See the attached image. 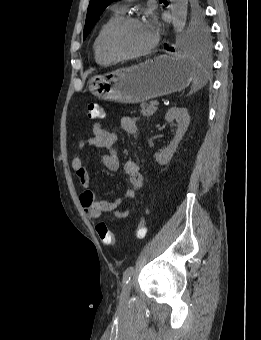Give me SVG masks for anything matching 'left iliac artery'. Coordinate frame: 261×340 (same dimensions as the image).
<instances>
[{"label": "left iliac artery", "instance_id": "left-iliac-artery-1", "mask_svg": "<svg viewBox=\"0 0 261 340\" xmlns=\"http://www.w3.org/2000/svg\"><path fill=\"white\" fill-rule=\"evenodd\" d=\"M133 272H134V267H132V266L128 267L124 271V273H123V280H122L123 286L129 282Z\"/></svg>", "mask_w": 261, "mask_h": 340}]
</instances>
